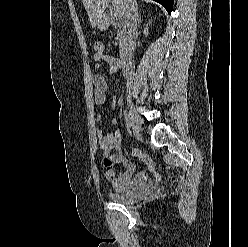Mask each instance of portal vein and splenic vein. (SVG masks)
Here are the masks:
<instances>
[{
	"label": "portal vein and splenic vein",
	"mask_w": 248,
	"mask_h": 247,
	"mask_svg": "<svg viewBox=\"0 0 248 247\" xmlns=\"http://www.w3.org/2000/svg\"><path fill=\"white\" fill-rule=\"evenodd\" d=\"M115 14H116V15H119V13H118V11H117V10H115Z\"/></svg>",
	"instance_id": "obj_1"
}]
</instances>
